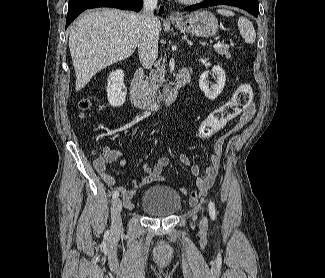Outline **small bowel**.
<instances>
[{"label":"small bowel","mask_w":325,"mask_h":278,"mask_svg":"<svg viewBox=\"0 0 325 278\" xmlns=\"http://www.w3.org/2000/svg\"><path fill=\"white\" fill-rule=\"evenodd\" d=\"M254 111V106L252 104L247 109H245L239 121L237 122L235 129H240L245 126L251 120ZM138 128L139 125H137L133 129L131 134L132 136L135 135ZM224 142V138H220L215 142L213 152L210 157V163L206 167L204 174L199 176V178L197 179L196 189L190 192L186 188H182L181 192L184 195H190L194 199L196 196H201L209 191L220 165ZM117 160L120 161V166L122 168L126 167L127 160L123 152L116 149H111L109 147H104L102 153L94 160L93 164L96 171L100 174L104 182L107 185L116 188L120 191L121 196L123 198V202L128 207L132 206L131 199L134 197V195L139 189H142L154 182L167 180V177L164 174V169L170 164V158L167 156H162L156 159L152 164L143 165L145 176L139 181H132L131 188L125 189L122 187H117L116 179L112 175L106 173L107 164ZM179 161L184 166L189 167L193 175L198 176L201 173V168L198 165L192 164L190 158L187 155H180Z\"/></svg>","instance_id":"small-bowel-1"}]
</instances>
